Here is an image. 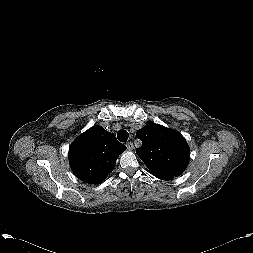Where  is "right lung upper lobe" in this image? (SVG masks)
Here are the masks:
<instances>
[{"instance_id": "1", "label": "right lung upper lobe", "mask_w": 253, "mask_h": 253, "mask_svg": "<svg viewBox=\"0 0 253 253\" xmlns=\"http://www.w3.org/2000/svg\"><path fill=\"white\" fill-rule=\"evenodd\" d=\"M126 146L100 126L78 136L69 148V163L75 176L89 184L102 183L114 169Z\"/></svg>"}]
</instances>
